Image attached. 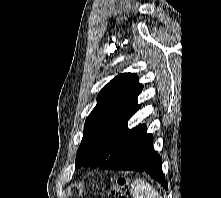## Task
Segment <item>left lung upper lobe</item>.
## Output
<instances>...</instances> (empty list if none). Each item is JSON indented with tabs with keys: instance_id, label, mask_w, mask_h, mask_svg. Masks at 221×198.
Masks as SVG:
<instances>
[{
	"instance_id": "5c2ea615",
	"label": "left lung upper lobe",
	"mask_w": 221,
	"mask_h": 198,
	"mask_svg": "<svg viewBox=\"0 0 221 198\" xmlns=\"http://www.w3.org/2000/svg\"><path fill=\"white\" fill-rule=\"evenodd\" d=\"M142 89L135 74L124 73L116 76L100 91L98 103L84 124L76 168L100 167L126 139L143 126L128 128L129 119L140 108L137 97Z\"/></svg>"
}]
</instances>
